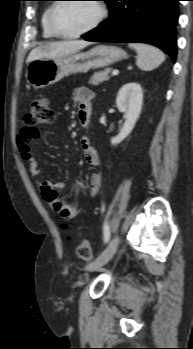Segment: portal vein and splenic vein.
I'll list each match as a JSON object with an SVG mask.
<instances>
[{
	"label": "portal vein and splenic vein",
	"mask_w": 193,
	"mask_h": 349,
	"mask_svg": "<svg viewBox=\"0 0 193 349\" xmlns=\"http://www.w3.org/2000/svg\"><path fill=\"white\" fill-rule=\"evenodd\" d=\"M119 71L117 69L112 71V75H118Z\"/></svg>",
	"instance_id": "18ae733b"
}]
</instances>
